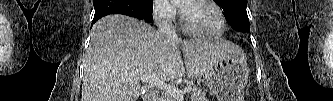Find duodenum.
<instances>
[{"label": "duodenum", "instance_id": "obj_1", "mask_svg": "<svg viewBox=\"0 0 333 101\" xmlns=\"http://www.w3.org/2000/svg\"><path fill=\"white\" fill-rule=\"evenodd\" d=\"M143 101H158V97L155 92L148 90L142 96Z\"/></svg>", "mask_w": 333, "mask_h": 101}]
</instances>
